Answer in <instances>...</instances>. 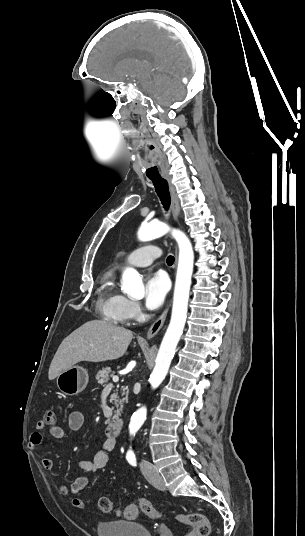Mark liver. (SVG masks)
Returning a JSON list of instances; mask_svg holds the SVG:
<instances>
[{
	"label": "liver",
	"mask_w": 305,
	"mask_h": 536,
	"mask_svg": "<svg viewBox=\"0 0 305 536\" xmlns=\"http://www.w3.org/2000/svg\"><path fill=\"white\" fill-rule=\"evenodd\" d=\"M132 332L109 324L105 320H92L77 328L60 344L49 368V380L78 362H106L124 356Z\"/></svg>",
	"instance_id": "1"
}]
</instances>
